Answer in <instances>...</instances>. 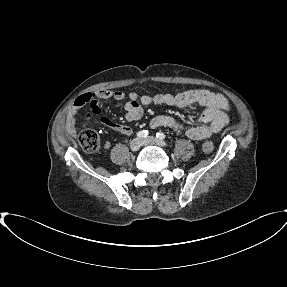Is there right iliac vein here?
<instances>
[{"mask_svg":"<svg viewBox=\"0 0 287 287\" xmlns=\"http://www.w3.org/2000/svg\"><path fill=\"white\" fill-rule=\"evenodd\" d=\"M142 145V142L139 138H134L131 142H130V149L132 151H138L140 149Z\"/></svg>","mask_w":287,"mask_h":287,"instance_id":"63e3f726","label":"right iliac vein"}]
</instances>
